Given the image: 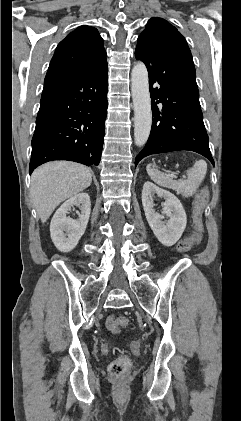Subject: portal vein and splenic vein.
<instances>
[{
  "label": "portal vein and splenic vein",
  "instance_id": "portal-vein-and-splenic-vein-1",
  "mask_svg": "<svg viewBox=\"0 0 241 421\" xmlns=\"http://www.w3.org/2000/svg\"><path fill=\"white\" fill-rule=\"evenodd\" d=\"M171 177H172V178H177V176H176V175H174V174H172V175H171Z\"/></svg>",
  "mask_w": 241,
  "mask_h": 421
}]
</instances>
